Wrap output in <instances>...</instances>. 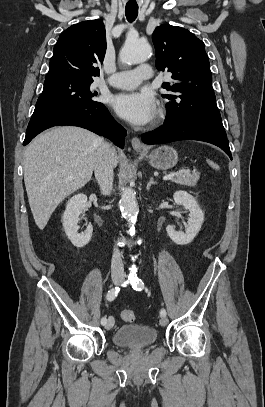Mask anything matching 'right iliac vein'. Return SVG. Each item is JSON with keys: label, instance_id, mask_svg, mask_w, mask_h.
<instances>
[{"label": "right iliac vein", "instance_id": "63e3f726", "mask_svg": "<svg viewBox=\"0 0 265 407\" xmlns=\"http://www.w3.org/2000/svg\"><path fill=\"white\" fill-rule=\"evenodd\" d=\"M122 282L121 278H113V283L115 285H119ZM114 325V319L113 317H109L106 324H105V329L110 330Z\"/></svg>", "mask_w": 265, "mask_h": 407}]
</instances>
